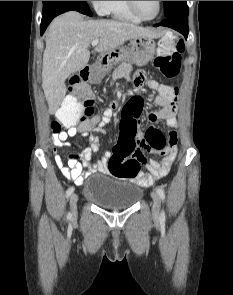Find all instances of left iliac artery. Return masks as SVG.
Returning a JSON list of instances; mask_svg holds the SVG:
<instances>
[{
  "instance_id": "44dca946",
  "label": "left iliac artery",
  "mask_w": 233,
  "mask_h": 295,
  "mask_svg": "<svg viewBox=\"0 0 233 295\" xmlns=\"http://www.w3.org/2000/svg\"><path fill=\"white\" fill-rule=\"evenodd\" d=\"M156 191H157L158 195L160 196V198L162 199V201H164L165 200L164 190L162 188L158 187L156 189ZM160 220L161 221L165 220V212L164 211H162L161 214H160Z\"/></svg>"
}]
</instances>
